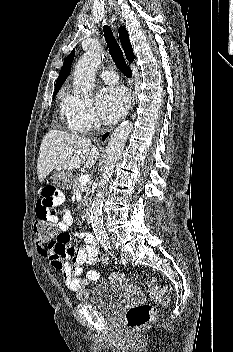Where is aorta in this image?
<instances>
[{
  "instance_id": "762f6f07",
  "label": "aorta",
  "mask_w": 233,
  "mask_h": 352,
  "mask_svg": "<svg viewBox=\"0 0 233 352\" xmlns=\"http://www.w3.org/2000/svg\"><path fill=\"white\" fill-rule=\"evenodd\" d=\"M103 59V53L99 49L88 50L78 61L74 71V93L78 97L87 98L91 95L95 73ZM133 129L131 122H122L112 133L107 145L106 161L102 177L97 189L96 196L91 204V223L96 238L105 243L108 240L107 233L103 225L102 207L105 188L109 182L116 163L121 158L126 140Z\"/></svg>"
}]
</instances>
